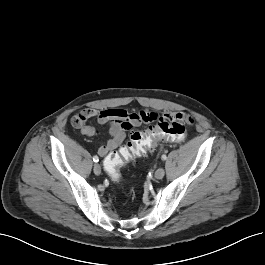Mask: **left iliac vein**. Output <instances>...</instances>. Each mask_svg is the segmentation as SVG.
<instances>
[{"label":"left iliac vein","mask_w":265,"mask_h":265,"mask_svg":"<svg viewBox=\"0 0 265 265\" xmlns=\"http://www.w3.org/2000/svg\"><path fill=\"white\" fill-rule=\"evenodd\" d=\"M165 175V170L163 168H158L155 172V178L162 179Z\"/></svg>","instance_id":"1"}]
</instances>
